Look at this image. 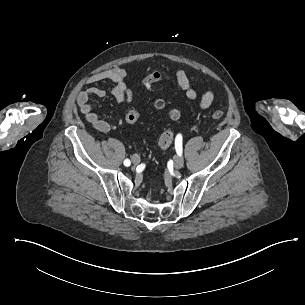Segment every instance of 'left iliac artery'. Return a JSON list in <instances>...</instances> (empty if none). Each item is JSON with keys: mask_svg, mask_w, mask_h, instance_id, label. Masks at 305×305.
<instances>
[{"mask_svg": "<svg viewBox=\"0 0 305 305\" xmlns=\"http://www.w3.org/2000/svg\"><path fill=\"white\" fill-rule=\"evenodd\" d=\"M175 148H176L177 154L181 155L182 154V136L181 135H177V137H176Z\"/></svg>", "mask_w": 305, "mask_h": 305, "instance_id": "left-iliac-artery-1", "label": "left iliac artery"}]
</instances>
